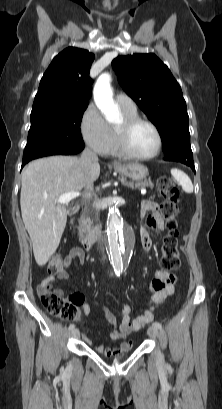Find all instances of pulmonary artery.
Returning <instances> with one entry per match:
<instances>
[{
	"mask_svg": "<svg viewBox=\"0 0 222 409\" xmlns=\"http://www.w3.org/2000/svg\"><path fill=\"white\" fill-rule=\"evenodd\" d=\"M116 102L122 109H125V110H128V111H135L136 110L135 102L129 96H127L124 93H118L116 95Z\"/></svg>",
	"mask_w": 222,
	"mask_h": 409,
	"instance_id": "e3ab8cb5",
	"label": "pulmonary artery"
}]
</instances>
